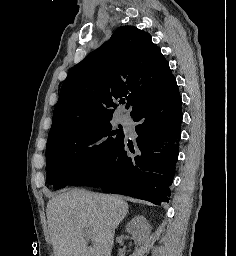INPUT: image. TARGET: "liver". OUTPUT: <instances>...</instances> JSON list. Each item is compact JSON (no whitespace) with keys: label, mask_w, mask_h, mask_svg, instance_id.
I'll list each match as a JSON object with an SVG mask.
<instances>
[{"label":"liver","mask_w":236,"mask_h":256,"mask_svg":"<svg viewBox=\"0 0 236 256\" xmlns=\"http://www.w3.org/2000/svg\"><path fill=\"white\" fill-rule=\"evenodd\" d=\"M127 212L128 204L118 196L87 190H62L52 196L46 216L54 256H111L115 230ZM84 228L90 230V248Z\"/></svg>","instance_id":"1"}]
</instances>
